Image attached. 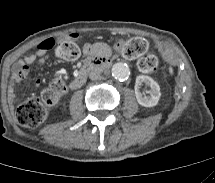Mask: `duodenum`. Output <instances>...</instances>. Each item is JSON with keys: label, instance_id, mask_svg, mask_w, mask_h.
I'll use <instances>...</instances> for the list:
<instances>
[{"label": "duodenum", "instance_id": "obj_1", "mask_svg": "<svg viewBox=\"0 0 215 183\" xmlns=\"http://www.w3.org/2000/svg\"><path fill=\"white\" fill-rule=\"evenodd\" d=\"M111 63L108 57H98L87 62L77 73L76 77L70 82V89L79 88L86 80L88 73L95 70L108 68Z\"/></svg>", "mask_w": 215, "mask_h": 183}]
</instances>
